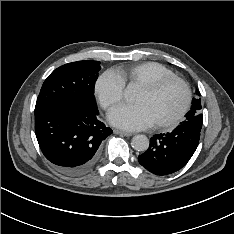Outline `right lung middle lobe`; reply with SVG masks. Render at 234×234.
<instances>
[{"label":"right lung middle lobe","mask_w":234,"mask_h":234,"mask_svg":"<svg viewBox=\"0 0 234 234\" xmlns=\"http://www.w3.org/2000/svg\"><path fill=\"white\" fill-rule=\"evenodd\" d=\"M98 61H77L54 70L45 80L35 111L57 103H71L95 110L93 91L100 71Z\"/></svg>","instance_id":"1"}]
</instances>
